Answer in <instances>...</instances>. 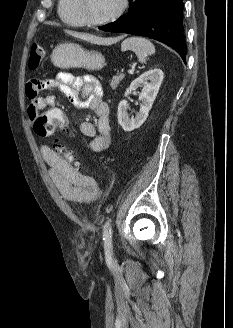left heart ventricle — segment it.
Returning a JSON list of instances; mask_svg holds the SVG:
<instances>
[{
  "label": "left heart ventricle",
  "mask_w": 233,
  "mask_h": 328,
  "mask_svg": "<svg viewBox=\"0 0 233 328\" xmlns=\"http://www.w3.org/2000/svg\"><path fill=\"white\" fill-rule=\"evenodd\" d=\"M85 13L94 20L104 19L113 14L121 0H83Z\"/></svg>",
  "instance_id": "b2bd125f"
}]
</instances>
